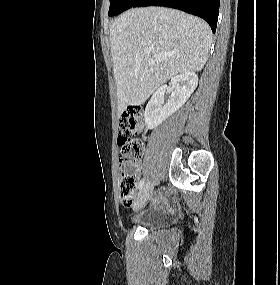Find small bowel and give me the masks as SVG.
<instances>
[{"mask_svg":"<svg viewBox=\"0 0 280 285\" xmlns=\"http://www.w3.org/2000/svg\"><path fill=\"white\" fill-rule=\"evenodd\" d=\"M153 201H154L156 204H158V205H161V204L164 203V200H163L160 196H157V195H155V196L153 197Z\"/></svg>","mask_w":280,"mask_h":285,"instance_id":"c3829d8e","label":"small bowel"}]
</instances>
